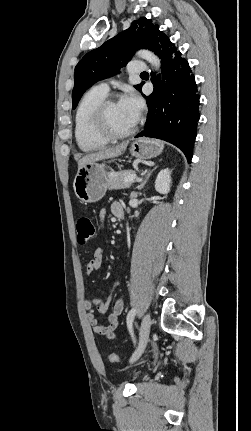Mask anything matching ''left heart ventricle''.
Returning <instances> with one entry per match:
<instances>
[{"instance_id":"left-heart-ventricle-1","label":"left heart ventricle","mask_w":251,"mask_h":431,"mask_svg":"<svg viewBox=\"0 0 251 431\" xmlns=\"http://www.w3.org/2000/svg\"><path fill=\"white\" fill-rule=\"evenodd\" d=\"M107 120L110 128L116 132L126 131L136 122L131 113L120 105V102H115L109 106Z\"/></svg>"}]
</instances>
